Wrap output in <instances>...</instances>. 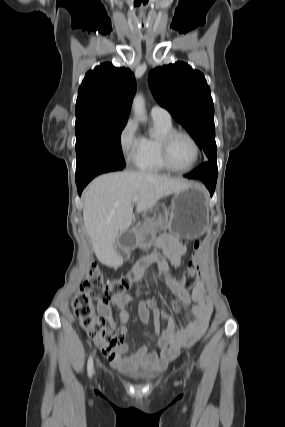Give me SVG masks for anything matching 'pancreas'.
Masks as SVG:
<instances>
[{"mask_svg": "<svg viewBox=\"0 0 285 427\" xmlns=\"http://www.w3.org/2000/svg\"><path fill=\"white\" fill-rule=\"evenodd\" d=\"M138 226H139L138 232H142L147 227V223L144 222L143 224H138Z\"/></svg>", "mask_w": 285, "mask_h": 427, "instance_id": "pancreas-1", "label": "pancreas"}]
</instances>
